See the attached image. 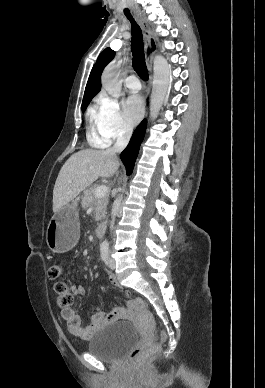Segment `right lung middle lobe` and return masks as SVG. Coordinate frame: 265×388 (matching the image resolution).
Returning a JSON list of instances; mask_svg holds the SVG:
<instances>
[{
  "mask_svg": "<svg viewBox=\"0 0 265 388\" xmlns=\"http://www.w3.org/2000/svg\"><path fill=\"white\" fill-rule=\"evenodd\" d=\"M89 103H90V102H88V103L82 105V111H83V112L85 111V109H86V107L88 106Z\"/></svg>",
  "mask_w": 265,
  "mask_h": 388,
  "instance_id": "1",
  "label": "right lung middle lobe"
}]
</instances>
